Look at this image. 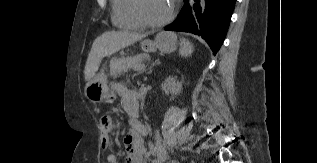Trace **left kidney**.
<instances>
[{
	"label": "left kidney",
	"instance_id": "left-kidney-1",
	"mask_svg": "<svg viewBox=\"0 0 317 163\" xmlns=\"http://www.w3.org/2000/svg\"><path fill=\"white\" fill-rule=\"evenodd\" d=\"M161 87L166 95L170 93L172 99H174V96L180 94L182 91V82L177 81L175 77L169 76L164 83H162Z\"/></svg>",
	"mask_w": 317,
	"mask_h": 163
}]
</instances>
